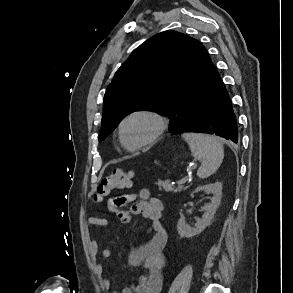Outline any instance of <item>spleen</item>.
I'll return each mask as SVG.
<instances>
[{"label": "spleen", "mask_w": 293, "mask_h": 293, "mask_svg": "<svg viewBox=\"0 0 293 293\" xmlns=\"http://www.w3.org/2000/svg\"><path fill=\"white\" fill-rule=\"evenodd\" d=\"M182 138L188 143L192 155L201 161L197 171L199 178H207L221 165L224 158L223 144L220 140L208 134L183 133Z\"/></svg>", "instance_id": "obj_1"}]
</instances>
